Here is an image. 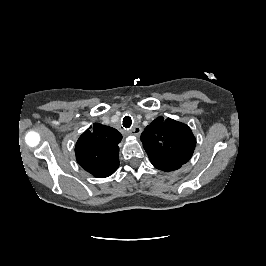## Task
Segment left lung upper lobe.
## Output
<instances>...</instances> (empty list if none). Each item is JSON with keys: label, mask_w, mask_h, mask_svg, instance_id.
<instances>
[{"label": "left lung upper lobe", "mask_w": 266, "mask_h": 266, "mask_svg": "<svg viewBox=\"0 0 266 266\" xmlns=\"http://www.w3.org/2000/svg\"><path fill=\"white\" fill-rule=\"evenodd\" d=\"M143 147L154 167L174 171L188 162L196 139L184 123L163 117L156 118L141 135Z\"/></svg>", "instance_id": "1"}]
</instances>
